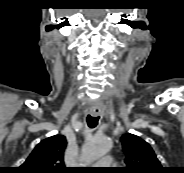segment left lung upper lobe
Masks as SVG:
<instances>
[{
  "label": "left lung upper lobe",
  "mask_w": 184,
  "mask_h": 173,
  "mask_svg": "<svg viewBox=\"0 0 184 173\" xmlns=\"http://www.w3.org/2000/svg\"><path fill=\"white\" fill-rule=\"evenodd\" d=\"M121 141L127 165L122 169V173L164 172V168L147 142L130 133L124 134Z\"/></svg>",
  "instance_id": "left-lung-upper-lobe-1"
}]
</instances>
